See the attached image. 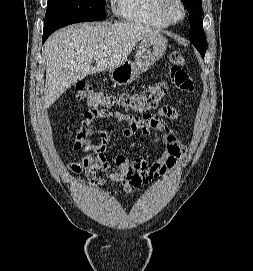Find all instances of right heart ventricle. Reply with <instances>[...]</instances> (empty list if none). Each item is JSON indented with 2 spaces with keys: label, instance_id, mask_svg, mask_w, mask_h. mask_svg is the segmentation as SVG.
Here are the masks:
<instances>
[{
  "label": "right heart ventricle",
  "instance_id": "right-heart-ventricle-1",
  "mask_svg": "<svg viewBox=\"0 0 253 271\" xmlns=\"http://www.w3.org/2000/svg\"><path fill=\"white\" fill-rule=\"evenodd\" d=\"M115 10L123 19L152 27L168 28V24L158 10L159 0H114Z\"/></svg>",
  "mask_w": 253,
  "mask_h": 271
}]
</instances>
